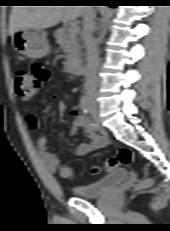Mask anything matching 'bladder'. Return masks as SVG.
Masks as SVG:
<instances>
[{
  "label": "bladder",
  "instance_id": "1",
  "mask_svg": "<svg viewBox=\"0 0 170 231\" xmlns=\"http://www.w3.org/2000/svg\"><path fill=\"white\" fill-rule=\"evenodd\" d=\"M128 179L125 169H116L100 180L89 184L77 185L72 191L82 198H97L103 196L123 184Z\"/></svg>",
  "mask_w": 170,
  "mask_h": 231
}]
</instances>
